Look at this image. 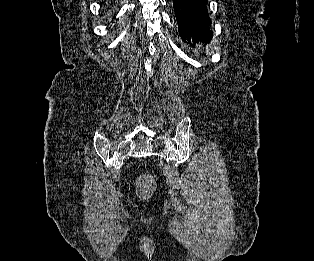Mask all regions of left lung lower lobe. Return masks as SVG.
Wrapping results in <instances>:
<instances>
[{"mask_svg":"<svg viewBox=\"0 0 314 261\" xmlns=\"http://www.w3.org/2000/svg\"><path fill=\"white\" fill-rule=\"evenodd\" d=\"M207 2L208 0H173L179 34L184 41L199 43L211 39Z\"/></svg>","mask_w":314,"mask_h":261,"instance_id":"0a47b994","label":"left lung lower lobe"}]
</instances>
